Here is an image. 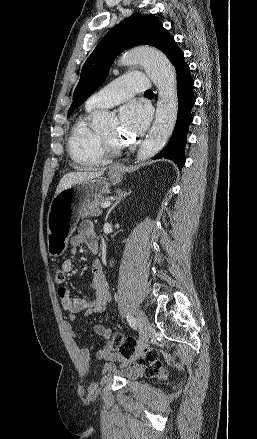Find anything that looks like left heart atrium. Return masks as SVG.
Here are the masks:
<instances>
[{
  "mask_svg": "<svg viewBox=\"0 0 257 439\" xmlns=\"http://www.w3.org/2000/svg\"><path fill=\"white\" fill-rule=\"evenodd\" d=\"M119 116L121 132L128 138L141 135L146 130L150 120L148 108L137 102H131L123 106Z\"/></svg>",
  "mask_w": 257,
  "mask_h": 439,
  "instance_id": "left-heart-atrium-1",
  "label": "left heart atrium"
}]
</instances>
